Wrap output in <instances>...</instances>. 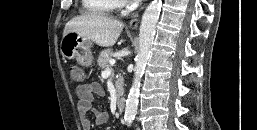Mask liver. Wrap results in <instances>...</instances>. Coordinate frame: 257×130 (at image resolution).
Here are the masks:
<instances>
[{"mask_svg":"<svg viewBox=\"0 0 257 130\" xmlns=\"http://www.w3.org/2000/svg\"><path fill=\"white\" fill-rule=\"evenodd\" d=\"M123 28V23L118 20L97 14H86L74 17L67 22L63 35L76 32L98 46L110 47L116 43Z\"/></svg>","mask_w":257,"mask_h":130,"instance_id":"obj_1","label":"liver"}]
</instances>
